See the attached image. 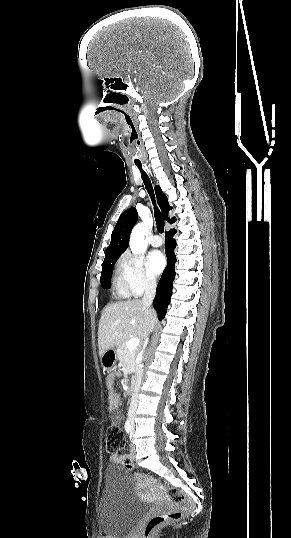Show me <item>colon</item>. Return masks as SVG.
<instances>
[{
	"instance_id": "5ec220e1",
	"label": "colon",
	"mask_w": 291,
	"mask_h": 538,
	"mask_svg": "<svg viewBox=\"0 0 291 538\" xmlns=\"http://www.w3.org/2000/svg\"><path fill=\"white\" fill-rule=\"evenodd\" d=\"M125 445V436L118 426L112 425L107 428L106 431V450L108 453L114 455L117 454ZM124 466L128 469H133L132 460H125ZM169 497L176 502L179 507L168 513H158L151 516L146 522L143 528V538H152L157 530L168 521L180 520L184 515L190 511L191 503L183 493L176 489L170 488L168 490Z\"/></svg>"
}]
</instances>
